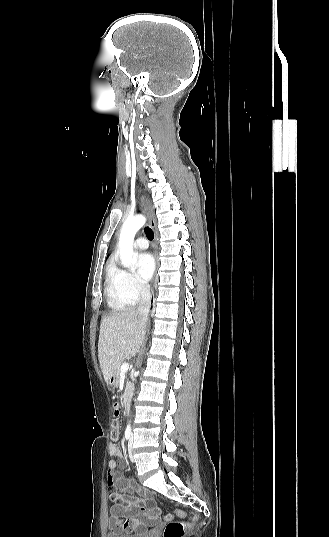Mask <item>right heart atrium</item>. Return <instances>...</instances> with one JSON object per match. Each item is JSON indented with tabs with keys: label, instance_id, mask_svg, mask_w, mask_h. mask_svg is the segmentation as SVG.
<instances>
[{
	"label": "right heart atrium",
	"instance_id": "obj_1",
	"mask_svg": "<svg viewBox=\"0 0 329 537\" xmlns=\"http://www.w3.org/2000/svg\"><path fill=\"white\" fill-rule=\"evenodd\" d=\"M120 291L132 302H137L148 294V287L132 272L117 270Z\"/></svg>",
	"mask_w": 329,
	"mask_h": 537
}]
</instances>
